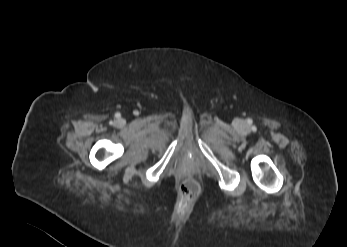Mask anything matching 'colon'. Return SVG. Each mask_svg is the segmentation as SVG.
I'll use <instances>...</instances> for the list:
<instances>
[{"label": "colon", "mask_w": 347, "mask_h": 247, "mask_svg": "<svg viewBox=\"0 0 347 247\" xmlns=\"http://www.w3.org/2000/svg\"><path fill=\"white\" fill-rule=\"evenodd\" d=\"M181 189L188 197H194L199 193V186L194 176H187L181 184Z\"/></svg>", "instance_id": "obj_1"}]
</instances>
